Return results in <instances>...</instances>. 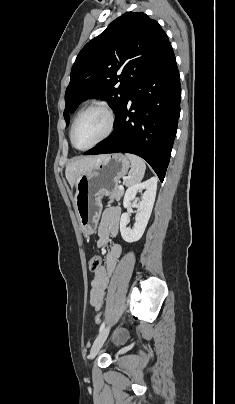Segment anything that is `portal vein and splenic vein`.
Here are the masks:
<instances>
[{"mask_svg": "<svg viewBox=\"0 0 235 404\" xmlns=\"http://www.w3.org/2000/svg\"><path fill=\"white\" fill-rule=\"evenodd\" d=\"M120 190H124V187L122 185L119 186Z\"/></svg>", "mask_w": 235, "mask_h": 404, "instance_id": "1", "label": "portal vein and splenic vein"}]
</instances>
